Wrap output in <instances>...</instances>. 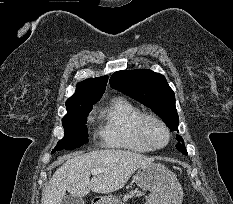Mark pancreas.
Segmentation results:
<instances>
[{"label": "pancreas", "instance_id": "1", "mask_svg": "<svg viewBox=\"0 0 233 204\" xmlns=\"http://www.w3.org/2000/svg\"><path fill=\"white\" fill-rule=\"evenodd\" d=\"M135 195H137V196H141V195H144L141 191H139V190H134V191H131V192H129V193H127L125 196H124V198H123V201L125 202V201H128L129 199H131L133 196H135Z\"/></svg>", "mask_w": 233, "mask_h": 204}]
</instances>
